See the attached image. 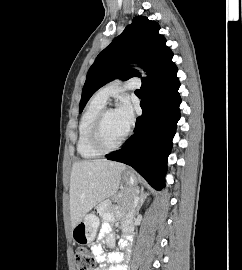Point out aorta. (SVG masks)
Masks as SVG:
<instances>
[{"label":"aorta","mask_w":242,"mask_h":270,"mask_svg":"<svg viewBox=\"0 0 242 270\" xmlns=\"http://www.w3.org/2000/svg\"><path fill=\"white\" fill-rule=\"evenodd\" d=\"M136 69H138L141 72L143 77H146V73L141 68L136 67Z\"/></svg>","instance_id":"obj_1"}]
</instances>
